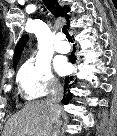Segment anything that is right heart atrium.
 Segmentation results:
<instances>
[{
    "label": "right heart atrium",
    "instance_id": "1",
    "mask_svg": "<svg viewBox=\"0 0 117 136\" xmlns=\"http://www.w3.org/2000/svg\"><path fill=\"white\" fill-rule=\"evenodd\" d=\"M17 82L27 100H36L46 96H57L61 85L53 75L48 62L29 60L20 68Z\"/></svg>",
    "mask_w": 117,
    "mask_h": 136
}]
</instances>
